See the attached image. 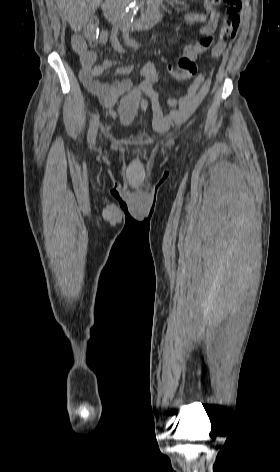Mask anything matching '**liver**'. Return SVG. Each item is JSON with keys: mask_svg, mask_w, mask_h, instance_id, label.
Masks as SVG:
<instances>
[{"mask_svg": "<svg viewBox=\"0 0 280 472\" xmlns=\"http://www.w3.org/2000/svg\"><path fill=\"white\" fill-rule=\"evenodd\" d=\"M102 0H56V3L74 31H80L95 13Z\"/></svg>", "mask_w": 280, "mask_h": 472, "instance_id": "1", "label": "liver"}]
</instances>
